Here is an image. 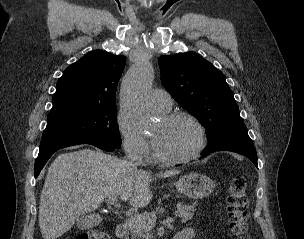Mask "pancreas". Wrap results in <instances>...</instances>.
<instances>
[{
    "label": "pancreas",
    "instance_id": "pancreas-1",
    "mask_svg": "<svg viewBox=\"0 0 304 239\" xmlns=\"http://www.w3.org/2000/svg\"><path fill=\"white\" fill-rule=\"evenodd\" d=\"M196 209L183 203L177 204V215L181 218V222H187L192 219ZM155 219V212H144L137 215L134 221L127 222L128 234L131 239H153L151 227L148 225L150 220Z\"/></svg>",
    "mask_w": 304,
    "mask_h": 239
}]
</instances>
